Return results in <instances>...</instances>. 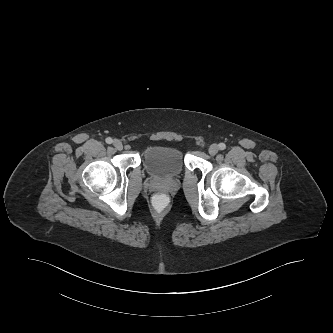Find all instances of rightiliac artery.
<instances>
[{
	"instance_id": "1",
	"label": "right iliac artery",
	"mask_w": 333,
	"mask_h": 333,
	"mask_svg": "<svg viewBox=\"0 0 333 333\" xmlns=\"http://www.w3.org/2000/svg\"><path fill=\"white\" fill-rule=\"evenodd\" d=\"M113 142L112 138L108 137L106 138V143L107 144H111Z\"/></svg>"
}]
</instances>
